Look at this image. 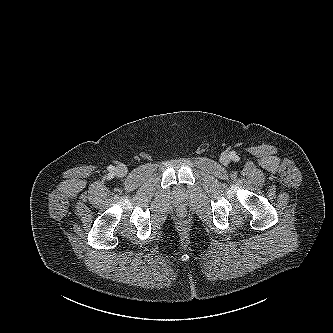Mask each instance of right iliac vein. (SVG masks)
Listing matches in <instances>:
<instances>
[{
  "label": "right iliac vein",
  "mask_w": 333,
  "mask_h": 333,
  "mask_svg": "<svg viewBox=\"0 0 333 333\" xmlns=\"http://www.w3.org/2000/svg\"><path fill=\"white\" fill-rule=\"evenodd\" d=\"M116 173L118 176H125L127 174V169L126 167H118L117 170H116Z\"/></svg>",
  "instance_id": "63e3f726"
}]
</instances>
